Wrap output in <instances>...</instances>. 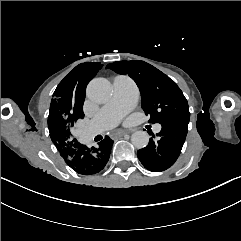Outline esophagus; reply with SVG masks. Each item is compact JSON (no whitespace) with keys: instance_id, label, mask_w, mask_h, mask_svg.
I'll return each instance as SVG.
<instances>
[{"instance_id":"obj_1","label":"esophagus","mask_w":241,"mask_h":241,"mask_svg":"<svg viewBox=\"0 0 241 241\" xmlns=\"http://www.w3.org/2000/svg\"><path fill=\"white\" fill-rule=\"evenodd\" d=\"M126 133H127V131L121 130V131H117V132L111 133L110 137L111 138H118V137H120L122 135H125Z\"/></svg>"}]
</instances>
